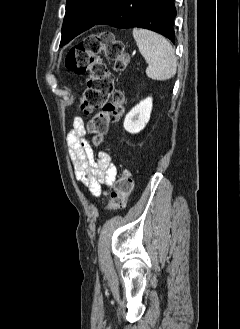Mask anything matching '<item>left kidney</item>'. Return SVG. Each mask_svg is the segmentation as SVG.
<instances>
[{
    "label": "left kidney",
    "instance_id": "left-kidney-1",
    "mask_svg": "<svg viewBox=\"0 0 240 329\" xmlns=\"http://www.w3.org/2000/svg\"><path fill=\"white\" fill-rule=\"evenodd\" d=\"M151 111L152 98L148 97L132 108L125 116L123 123L124 129L132 134L140 132L149 122Z\"/></svg>",
    "mask_w": 240,
    "mask_h": 329
}]
</instances>
